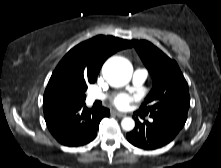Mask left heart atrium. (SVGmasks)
I'll use <instances>...</instances> for the list:
<instances>
[{
	"label": "left heart atrium",
	"mask_w": 221,
	"mask_h": 168,
	"mask_svg": "<svg viewBox=\"0 0 221 168\" xmlns=\"http://www.w3.org/2000/svg\"><path fill=\"white\" fill-rule=\"evenodd\" d=\"M135 98L128 94H119L114 98V105L119 109H126Z\"/></svg>",
	"instance_id": "obj_1"
}]
</instances>
